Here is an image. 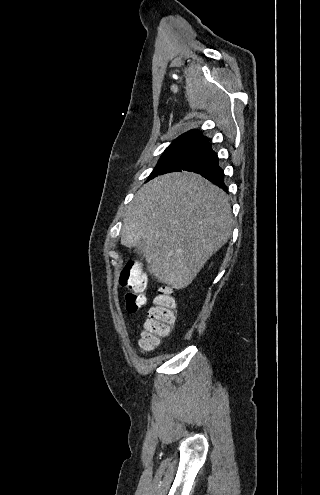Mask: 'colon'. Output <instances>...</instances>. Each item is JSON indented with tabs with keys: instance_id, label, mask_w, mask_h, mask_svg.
<instances>
[{
	"instance_id": "1",
	"label": "colon",
	"mask_w": 320,
	"mask_h": 495,
	"mask_svg": "<svg viewBox=\"0 0 320 495\" xmlns=\"http://www.w3.org/2000/svg\"><path fill=\"white\" fill-rule=\"evenodd\" d=\"M120 284L130 291L125 295L128 312L133 313L144 306L143 292L148 285V276L135 261H128L120 273ZM176 303L167 287H162L155 298L154 306L148 312L145 330L140 339L143 350L155 348L160 339L169 334L175 322Z\"/></svg>"
}]
</instances>
